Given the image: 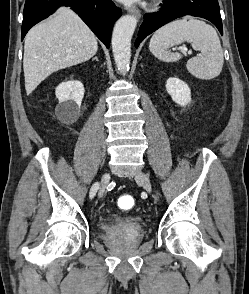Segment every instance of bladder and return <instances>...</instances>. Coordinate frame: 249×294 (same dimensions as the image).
Here are the masks:
<instances>
[{"label":"bladder","mask_w":249,"mask_h":294,"mask_svg":"<svg viewBox=\"0 0 249 294\" xmlns=\"http://www.w3.org/2000/svg\"><path fill=\"white\" fill-rule=\"evenodd\" d=\"M143 220L131 215H119L111 218L104 226L105 236H115L123 231H136L142 233Z\"/></svg>","instance_id":"bladder-1"}]
</instances>
